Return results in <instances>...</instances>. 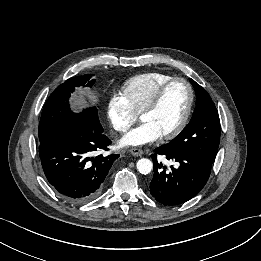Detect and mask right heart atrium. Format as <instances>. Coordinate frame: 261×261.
Instances as JSON below:
<instances>
[{
    "label": "right heart atrium",
    "mask_w": 261,
    "mask_h": 261,
    "mask_svg": "<svg viewBox=\"0 0 261 261\" xmlns=\"http://www.w3.org/2000/svg\"><path fill=\"white\" fill-rule=\"evenodd\" d=\"M107 116L112 128L121 133L127 132L138 120V114L122 93H115L109 98Z\"/></svg>",
    "instance_id": "right-heart-atrium-1"
}]
</instances>
